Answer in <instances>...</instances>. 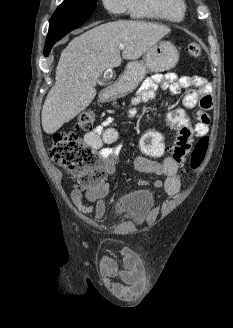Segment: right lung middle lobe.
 Instances as JSON below:
<instances>
[{
	"instance_id": "right-lung-middle-lobe-1",
	"label": "right lung middle lobe",
	"mask_w": 233,
	"mask_h": 328,
	"mask_svg": "<svg viewBox=\"0 0 233 328\" xmlns=\"http://www.w3.org/2000/svg\"><path fill=\"white\" fill-rule=\"evenodd\" d=\"M97 6V0H64L53 14L57 18H89Z\"/></svg>"
}]
</instances>
